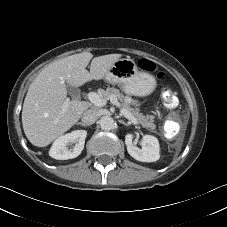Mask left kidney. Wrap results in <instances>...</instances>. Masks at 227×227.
<instances>
[{
	"mask_svg": "<svg viewBox=\"0 0 227 227\" xmlns=\"http://www.w3.org/2000/svg\"><path fill=\"white\" fill-rule=\"evenodd\" d=\"M133 135L125 136V144L127 151L131 157L141 162H155L160 158L159 141L152 135H144L141 140L142 148H138L133 144Z\"/></svg>",
	"mask_w": 227,
	"mask_h": 227,
	"instance_id": "1",
	"label": "left kidney"
}]
</instances>
